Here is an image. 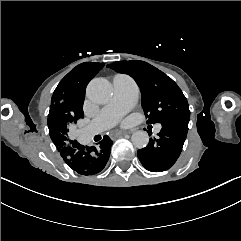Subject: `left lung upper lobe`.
<instances>
[{
    "label": "left lung upper lobe",
    "mask_w": 241,
    "mask_h": 241,
    "mask_svg": "<svg viewBox=\"0 0 241 241\" xmlns=\"http://www.w3.org/2000/svg\"><path fill=\"white\" fill-rule=\"evenodd\" d=\"M107 67L128 74L136 81L148 124L190 119L186 97L178 85L159 69L140 60L118 61Z\"/></svg>",
    "instance_id": "left-lung-upper-lobe-1"
}]
</instances>
